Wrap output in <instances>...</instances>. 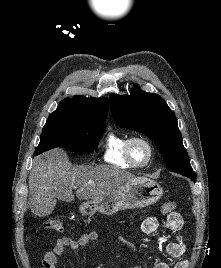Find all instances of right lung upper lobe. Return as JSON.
Masks as SVG:
<instances>
[{
    "label": "right lung upper lobe",
    "mask_w": 221,
    "mask_h": 268,
    "mask_svg": "<svg viewBox=\"0 0 221 268\" xmlns=\"http://www.w3.org/2000/svg\"><path fill=\"white\" fill-rule=\"evenodd\" d=\"M53 113L66 114L95 123H106L108 99L84 96L66 98L59 103L57 110Z\"/></svg>",
    "instance_id": "obj_1"
}]
</instances>
